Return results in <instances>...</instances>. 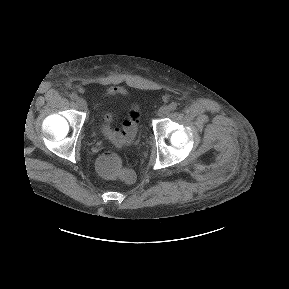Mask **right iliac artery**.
Instances as JSON below:
<instances>
[{
  "instance_id": "obj_1",
  "label": "right iliac artery",
  "mask_w": 289,
  "mask_h": 289,
  "mask_svg": "<svg viewBox=\"0 0 289 289\" xmlns=\"http://www.w3.org/2000/svg\"><path fill=\"white\" fill-rule=\"evenodd\" d=\"M70 98H71L72 100H76V99L78 98V96H77V94L72 93V94H70Z\"/></svg>"
}]
</instances>
